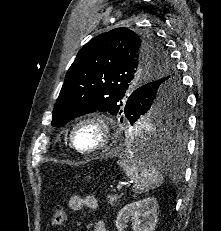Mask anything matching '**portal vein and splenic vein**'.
<instances>
[{"label": "portal vein and splenic vein", "mask_w": 221, "mask_h": 231, "mask_svg": "<svg viewBox=\"0 0 221 231\" xmlns=\"http://www.w3.org/2000/svg\"><path fill=\"white\" fill-rule=\"evenodd\" d=\"M122 187H123V185H122V184H118V185H117V189H118V190H121V189H122Z\"/></svg>", "instance_id": "18ae733b"}]
</instances>
